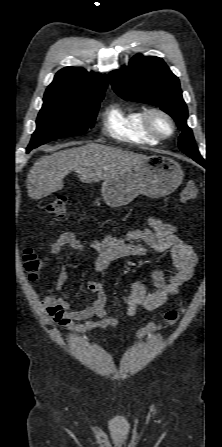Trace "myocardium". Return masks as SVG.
<instances>
[{
  "mask_svg": "<svg viewBox=\"0 0 222 447\" xmlns=\"http://www.w3.org/2000/svg\"><path fill=\"white\" fill-rule=\"evenodd\" d=\"M156 117H161L168 122V124L170 126L169 133L164 134L156 129V127L154 125V119ZM143 124H144V128L146 129V131L149 134H151L153 137H155L159 140H163V139H167V138L171 137L176 131L175 121L172 118V116L160 108H150V109L146 110L143 115Z\"/></svg>",
  "mask_w": 222,
  "mask_h": 447,
  "instance_id": "obj_1",
  "label": "myocardium"
}]
</instances>
